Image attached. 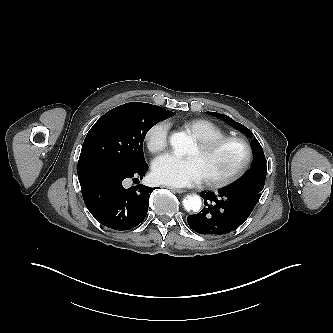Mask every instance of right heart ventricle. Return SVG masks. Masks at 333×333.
I'll return each mask as SVG.
<instances>
[{
	"label": "right heart ventricle",
	"instance_id": "right-heart-ventricle-1",
	"mask_svg": "<svg viewBox=\"0 0 333 333\" xmlns=\"http://www.w3.org/2000/svg\"><path fill=\"white\" fill-rule=\"evenodd\" d=\"M184 127L189 130L198 141H206L226 136V132L219 125L204 118L186 121Z\"/></svg>",
	"mask_w": 333,
	"mask_h": 333
}]
</instances>
